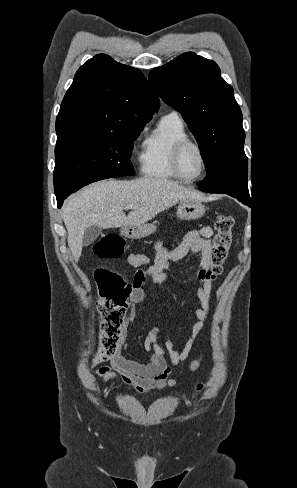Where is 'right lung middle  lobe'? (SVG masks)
I'll use <instances>...</instances> for the list:
<instances>
[{"instance_id": "1", "label": "right lung middle lobe", "mask_w": 297, "mask_h": 488, "mask_svg": "<svg viewBox=\"0 0 297 488\" xmlns=\"http://www.w3.org/2000/svg\"><path fill=\"white\" fill-rule=\"evenodd\" d=\"M143 127L57 137L53 175L56 198L68 196L98 180L134 175L130 162L132 142Z\"/></svg>"}]
</instances>
